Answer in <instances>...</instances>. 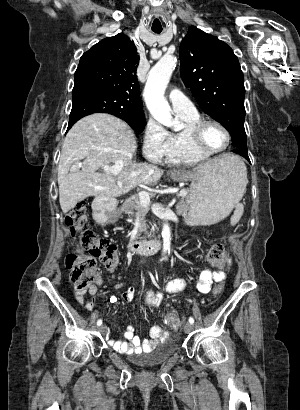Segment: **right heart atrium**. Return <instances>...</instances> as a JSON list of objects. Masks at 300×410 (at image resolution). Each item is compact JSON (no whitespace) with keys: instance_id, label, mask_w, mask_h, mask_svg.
<instances>
[{"instance_id":"right-heart-atrium-1","label":"right heart atrium","mask_w":300,"mask_h":410,"mask_svg":"<svg viewBox=\"0 0 300 410\" xmlns=\"http://www.w3.org/2000/svg\"><path fill=\"white\" fill-rule=\"evenodd\" d=\"M168 132L152 117L148 118L143 132V153L151 160L159 161L165 154Z\"/></svg>"}]
</instances>
